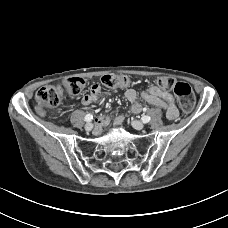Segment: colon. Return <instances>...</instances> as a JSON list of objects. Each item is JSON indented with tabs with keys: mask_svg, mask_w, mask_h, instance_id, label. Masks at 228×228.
<instances>
[{
	"mask_svg": "<svg viewBox=\"0 0 228 228\" xmlns=\"http://www.w3.org/2000/svg\"><path fill=\"white\" fill-rule=\"evenodd\" d=\"M104 86L110 89L123 88L131 84V79L125 75L107 74L101 78ZM64 87L68 94L78 95L87 86L85 79L81 77H69L64 80ZM158 87L165 90H173L181 108L188 112L195 105V95L191 86L184 82H176L171 77H160L157 80ZM62 89L59 86H45L40 88L35 96L36 111L39 115H46L51 109L56 108L61 101Z\"/></svg>",
	"mask_w": 228,
	"mask_h": 228,
	"instance_id": "1",
	"label": "colon"
}]
</instances>
